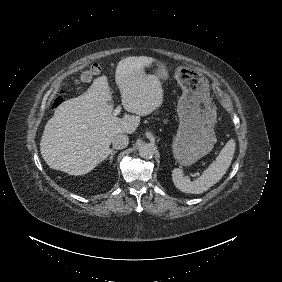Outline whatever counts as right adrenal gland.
Wrapping results in <instances>:
<instances>
[{
    "instance_id": "1",
    "label": "right adrenal gland",
    "mask_w": 282,
    "mask_h": 282,
    "mask_svg": "<svg viewBox=\"0 0 282 282\" xmlns=\"http://www.w3.org/2000/svg\"><path fill=\"white\" fill-rule=\"evenodd\" d=\"M109 153L110 155L106 156V158H109L110 161H113L114 155L117 154V151L113 150V151H110Z\"/></svg>"
}]
</instances>
